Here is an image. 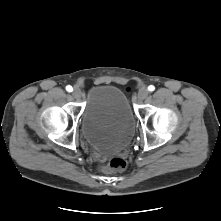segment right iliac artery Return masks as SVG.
I'll list each match as a JSON object with an SVG mask.
<instances>
[{
    "label": "right iliac artery",
    "instance_id": "82829eb1",
    "mask_svg": "<svg viewBox=\"0 0 221 221\" xmlns=\"http://www.w3.org/2000/svg\"><path fill=\"white\" fill-rule=\"evenodd\" d=\"M66 90H67L68 92H72V91H73V88H72V86L68 85V86H66Z\"/></svg>",
    "mask_w": 221,
    "mask_h": 221
}]
</instances>
